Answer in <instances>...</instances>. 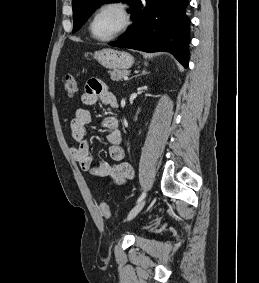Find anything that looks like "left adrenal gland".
Here are the masks:
<instances>
[{
	"label": "left adrenal gland",
	"mask_w": 259,
	"mask_h": 283,
	"mask_svg": "<svg viewBox=\"0 0 259 283\" xmlns=\"http://www.w3.org/2000/svg\"><path fill=\"white\" fill-rule=\"evenodd\" d=\"M149 72H147L145 69L142 71L141 75H145L148 74Z\"/></svg>",
	"instance_id": "1"
}]
</instances>
